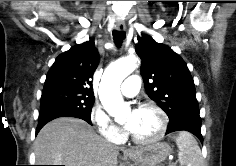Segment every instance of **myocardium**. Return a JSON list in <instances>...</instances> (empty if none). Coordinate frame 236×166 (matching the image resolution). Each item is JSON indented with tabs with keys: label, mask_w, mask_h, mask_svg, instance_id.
I'll return each instance as SVG.
<instances>
[{
	"label": "myocardium",
	"mask_w": 236,
	"mask_h": 166,
	"mask_svg": "<svg viewBox=\"0 0 236 166\" xmlns=\"http://www.w3.org/2000/svg\"><path fill=\"white\" fill-rule=\"evenodd\" d=\"M146 109H152L158 114L160 119V126L158 132L150 138H139L134 134H131L130 136L133 142L140 145H149L156 143L163 138L167 130L168 119L165 111L158 104L152 101H146L138 105V111Z\"/></svg>",
	"instance_id": "myocardium-1"
}]
</instances>
